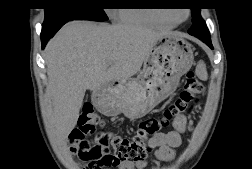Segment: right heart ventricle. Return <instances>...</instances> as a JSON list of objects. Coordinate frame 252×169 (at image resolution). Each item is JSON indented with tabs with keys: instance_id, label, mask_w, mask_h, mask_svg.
<instances>
[{
	"instance_id": "obj_1",
	"label": "right heart ventricle",
	"mask_w": 252,
	"mask_h": 169,
	"mask_svg": "<svg viewBox=\"0 0 252 169\" xmlns=\"http://www.w3.org/2000/svg\"><path fill=\"white\" fill-rule=\"evenodd\" d=\"M118 22L128 25L171 29L174 25L144 9L119 8L115 10Z\"/></svg>"
}]
</instances>
